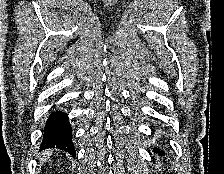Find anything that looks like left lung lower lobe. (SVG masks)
Returning a JSON list of instances; mask_svg holds the SVG:
<instances>
[{
    "label": "left lung lower lobe",
    "instance_id": "0a47b994",
    "mask_svg": "<svg viewBox=\"0 0 224 174\" xmlns=\"http://www.w3.org/2000/svg\"><path fill=\"white\" fill-rule=\"evenodd\" d=\"M155 150V152H157V153H159V154H161L162 153V150H157V149H154Z\"/></svg>",
    "mask_w": 224,
    "mask_h": 174
}]
</instances>
